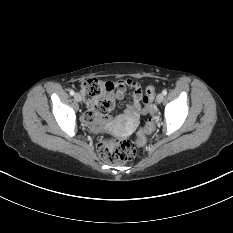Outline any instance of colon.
<instances>
[{
    "label": "colon",
    "instance_id": "obj_1",
    "mask_svg": "<svg viewBox=\"0 0 233 233\" xmlns=\"http://www.w3.org/2000/svg\"><path fill=\"white\" fill-rule=\"evenodd\" d=\"M114 83L100 79H88L82 84V92L87 100H98L100 105L98 111L102 114L108 113L113 106L112 93ZM155 88L148 86L144 95V103L147 105L154 97ZM155 128L153 120L139 130L136 141L130 139L107 138L102 140L97 151L102 160L110 164H123L133 160L137 154V146L146 142V136Z\"/></svg>",
    "mask_w": 233,
    "mask_h": 233
}]
</instances>
